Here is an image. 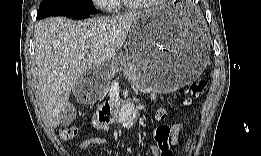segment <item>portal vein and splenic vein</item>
<instances>
[{
    "mask_svg": "<svg viewBox=\"0 0 261 156\" xmlns=\"http://www.w3.org/2000/svg\"><path fill=\"white\" fill-rule=\"evenodd\" d=\"M79 57H80V58H84V57H85V54H81Z\"/></svg>",
    "mask_w": 261,
    "mask_h": 156,
    "instance_id": "obj_1",
    "label": "portal vein and splenic vein"
}]
</instances>
